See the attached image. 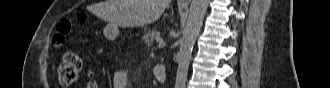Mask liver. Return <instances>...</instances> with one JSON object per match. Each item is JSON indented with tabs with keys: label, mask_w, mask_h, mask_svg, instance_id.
<instances>
[{
	"label": "liver",
	"mask_w": 330,
	"mask_h": 88,
	"mask_svg": "<svg viewBox=\"0 0 330 88\" xmlns=\"http://www.w3.org/2000/svg\"><path fill=\"white\" fill-rule=\"evenodd\" d=\"M171 0H106L99 4L98 15L110 25L143 26L156 21Z\"/></svg>",
	"instance_id": "obj_1"
}]
</instances>
